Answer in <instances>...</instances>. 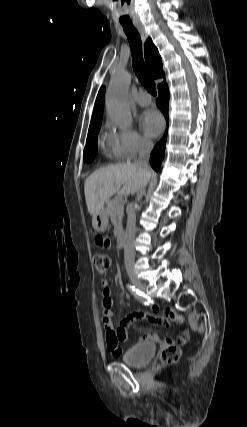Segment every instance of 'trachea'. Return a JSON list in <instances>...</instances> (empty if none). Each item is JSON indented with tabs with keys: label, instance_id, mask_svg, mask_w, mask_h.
<instances>
[{
	"label": "trachea",
	"instance_id": "obj_1",
	"mask_svg": "<svg viewBox=\"0 0 247 427\" xmlns=\"http://www.w3.org/2000/svg\"><path fill=\"white\" fill-rule=\"evenodd\" d=\"M123 29L130 43L134 71L139 81L147 89V91L152 95H156V85L143 60L142 42L139 33L132 25H123Z\"/></svg>",
	"mask_w": 247,
	"mask_h": 427
}]
</instances>
